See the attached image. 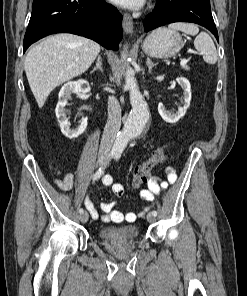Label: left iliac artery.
Returning <instances> with one entry per match:
<instances>
[{
    "mask_svg": "<svg viewBox=\"0 0 247 296\" xmlns=\"http://www.w3.org/2000/svg\"><path fill=\"white\" fill-rule=\"evenodd\" d=\"M120 156H121V152H116L115 155H114V158H115L116 160H118V159L120 158ZM152 213H153L155 216H157V211H153Z\"/></svg>",
    "mask_w": 247,
    "mask_h": 296,
    "instance_id": "44dca946",
    "label": "left iliac artery"
}]
</instances>
